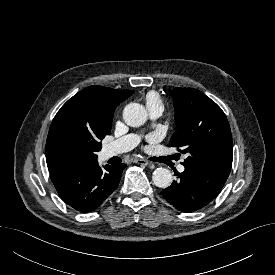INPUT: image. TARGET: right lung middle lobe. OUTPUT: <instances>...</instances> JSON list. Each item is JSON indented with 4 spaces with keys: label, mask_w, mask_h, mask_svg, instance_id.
<instances>
[{
    "label": "right lung middle lobe",
    "mask_w": 275,
    "mask_h": 275,
    "mask_svg": "<svg viewBox=\"0 0 275 275\" xmlns=\"http://www.w3.org/2000/svg\"><path fill=\"white\" fill-rule=\"evenodd\" d=\"M101 150V142L89 139L66 136L56 147V155L60 162L68 166H82L96 161V152Z\"/></svg>",
    "instance_id": "1"
}]
</instances>
